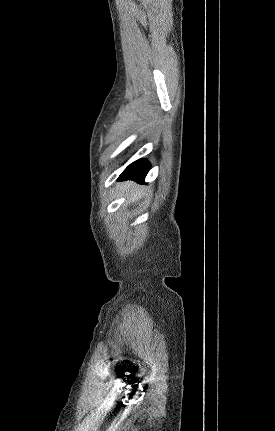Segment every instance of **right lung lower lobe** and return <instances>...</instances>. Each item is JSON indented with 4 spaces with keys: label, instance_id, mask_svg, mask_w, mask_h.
Here are the masks:
<instances>
[{
    "label": "right lung lower lobe",
    "instance_id": "right-lung-lower-lobe-1",
    "mask_svg": "<svg viewBox=\"0 0 275 431\" xmlns=\"http://www.w3.org/2000/svg\"><path fill=\"white\" fill-rule=\"evenodd\" d=\"M150 169V163L147 160L140 159L130 164L120 175V180H135L139 183L143 182L145 176Z\"/></svg>",
    "mask_w": 275,
    "mask_h": 431
}]
</instances>
